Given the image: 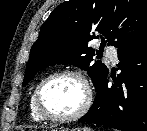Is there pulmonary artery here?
Returning <instances> with one entry per match:
<instances>
[{
	"label": "pulmonary artery",
	"instance_id": "pulmonary-artery-1",
	"mask_svg": "<svg viewBox=\"0 0 147 131\" xmlns=\"http://www.w3.org/2000/svg\"><path fill=\"white\" fill-rule=\"evenodd\" d=\"M106 56L114 65L118 62L117 50L114 47L110 46L106 49Z\"/></svg>",
	"mask_w": 147,
	"mask_h": 131
}]
</instances>
